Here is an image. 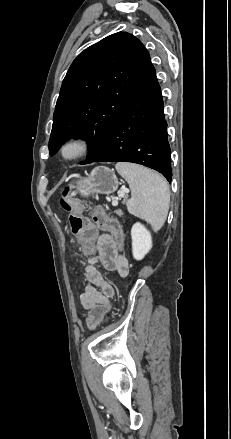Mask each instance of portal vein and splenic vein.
Instances as JSON below:
<instances>
[{"label": "portal vein and splenic vein", "instance_id": "portal-vein-and-splenic-vein-1", "mask_svg": "<svg viewBox=\"0 0 231 439\" xmlns=\"http://www.w3.org/2000/svg\"><path fill=\"white\" fill-rule=\"evenodd\" d=\"M124 195H125V193H124V192H121V193L119 194V196H120V197H124ZM113 204H117V202H116V201H114V202H113Z\"/></svg>", "mask_w": 231, "mask_h": 439}]
</instances>
